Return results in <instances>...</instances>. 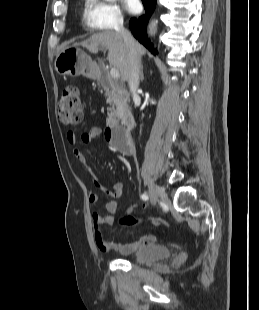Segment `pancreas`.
Here are the masks:
<instances>
[{"label": "pancreas", "instance_id": "1", "mask_svg": "<svg viewBox=\"0 0 259 310\" xmlns=\"http://www.w3.org/2000/svg\"><path fill=\"white\" fill-rule=\"evenodd\" d=\"M111 100L114 101L116 109L114 107L110 109V112L108 113L107 123L116 124L120 116L123 114V106L122 102L118 99L116 95H112Z\"/></svg>", "mask_w": 259, "mask_h": 310}]
</instances>
